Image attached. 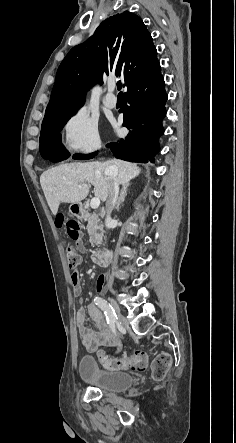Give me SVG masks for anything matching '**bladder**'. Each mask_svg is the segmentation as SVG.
I'll return each instance as SVG.
<instances>
[{
    "mask_svg": "<svg viewBox=\"0 0 236 443\" xmlns=\"http://www.w3.org/2000/svg\"><path fill=\"white\" fill-rule=\"evenodd\" d=\"M79 374L82 381L101 390L123 392L134 384L130 374L113 369H101L90 356L80 359Z\"/></svg>",
    "mask_w": 236,
    "mask_h": 443,
    "instance_id": "31cf9c89",
    "label": "bladder"
}]
</instances>
